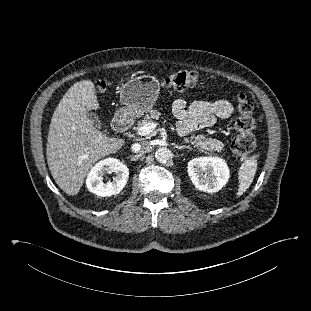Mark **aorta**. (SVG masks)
<instances>
[{
    "mask_svg": "<svg viewBox=\"0 0 311 311\" xmlns=\"http://www.w3.org/2000/svg\"><path fill=\"white\" fill-rule=\"evenodd\" d=\"M155 158L158 162L165 163L171 158V151L166 147L158 148L155 152Z\"/></svg>",
    "mask_w": 311,
    "mask_h": 311,
    "instance_id": "aorta-1",
    "label": "aorta"
}]
</instances>
